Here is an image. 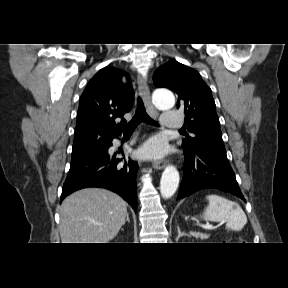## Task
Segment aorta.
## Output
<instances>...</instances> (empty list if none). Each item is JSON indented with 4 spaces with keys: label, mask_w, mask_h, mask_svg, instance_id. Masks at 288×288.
I'll use <instances>...</instances> for the list:
<instances>
[{
    "label": "aorta",
    "mask_w": 288,
    "mask_h": 288,
    "mask_svg": "<svg viewBox=\"0 0 288 288\" xmlns=\"http://www.w3.org/2000/svg\"><path fill=\"white\" fill-rule=\"evenodd\" d=\"M153 102L160 110L171 109L175 105V97L169 91L157 90L153 94ZM179 185V172L175 166H168L162 173L160 192L163 198L172 197Z\"/></svg>",
    "instance_id": "obj_1"
}]
</instances>
